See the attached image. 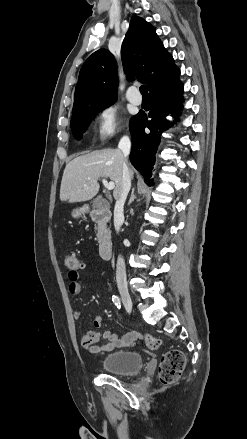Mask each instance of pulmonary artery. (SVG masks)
I'll return each mask as SVG.
<instances>
[{
    "label": "pulmonary artery",
    "mask_w": 247,
    "mask_h": 439,
    "mask_svg": "<svg viewBox=\"0 0 247 439\" xmlns=\"http://www.w3.org/2000/svg\"><path fill=\"white\" fill-rule=\"evenodd\" d=\"M126 97L129 102L135 105H140L142 103V98L140 95L137 94L136 89L134 87L129 88Z\"/></svg>",
    "instance_id": "pulmonary-artery-1"
}]
</instances>
